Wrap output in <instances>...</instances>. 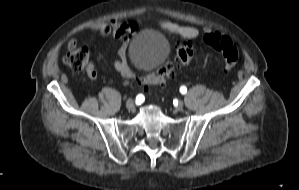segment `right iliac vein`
Here are the masks:
<instances>
[{"mask_svg": "<svg viewBox=\"0 0 299 190\" xmlns=\"http://www.w3.org/2000/svg\"><path fill=\"white\" fill-rule=\"evenodd\" d=\"M126 107H127L129 110H133L134 107H135V105H134V101L131 100V99L127 100V102H126Z\"/></svg>", "mask_w": 299, "mask_h": 190, "instance_id": "63e3f726", "label": "right iliac vein"}]
</instances>
